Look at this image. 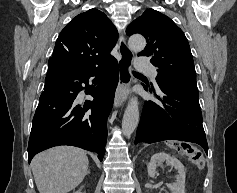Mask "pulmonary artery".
Instances as JSON below:
<instances>
[{"mask_svg": "<svg viewBox=\"0 0 237 193\" xmlns=\"http://www.w3.org/2000/svg\"><path fill=\"white\" fill-rule=\"evenodd\" d=\"M136 69L140 72H145L151 75L153 79L157 76L156 67L153 66L146 57L141 56L136 59L135 63Z\"/></svg>", "mask_w": 237, "mask_h": 193, "instance_id": "pulmonary-artery-1", "label": "pulmonary artery"}]
</instances>
